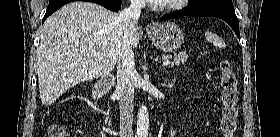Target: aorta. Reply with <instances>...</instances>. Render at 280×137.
I'll list each match as a JSON object with an SVG mask.
<instances>
[{"label":"aorta","mask_w":280,"mask_h":137,"mask_svg":"<svg viewBox=\"0 0 280 137\" xmlns=\"http://www.w3.org/2000/svg\"><path fill=\"white\" fill-rule=\"evenodd\" d=\"M149 133V114L147 107L142 105L137 115L136 137H148Z\"/></svg>","instance_id":"aorta-1"}]
</instances>
